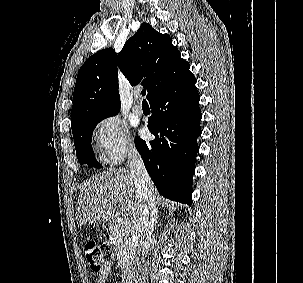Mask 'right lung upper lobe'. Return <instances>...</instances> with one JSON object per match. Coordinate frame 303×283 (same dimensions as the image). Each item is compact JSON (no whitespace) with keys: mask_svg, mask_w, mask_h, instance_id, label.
Returning <instances> with one entry per match:
<instances>
[{"mask_svg":"<svg viewBox=\"0 0 303 283\" xmlns=\"http://www.w3.org/2000/svg\"><path fill=\"white\" fill-rule=\"evenodd\" d=\"M118 67L131 85L141 82L149 101L191 73L170 36L142 23L120 53L112 48L102 50L80 68L73 93L72 131L86 122L118 114Z\"/></svg>","mask_w":303,"mask_h":283,"instance_id":"obj_1","label":"right lung upper lobe"}]
</instances>
